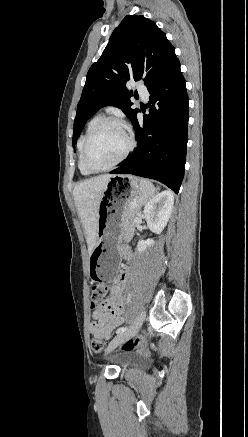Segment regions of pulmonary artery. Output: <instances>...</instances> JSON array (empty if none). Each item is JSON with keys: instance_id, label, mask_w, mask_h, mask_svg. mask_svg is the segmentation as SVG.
<instances>
[{"instance_id": "pulmonary-artery-1", "label": "pulmonary artery", "mask_w": 248, "mask_h": 437, "mask_svg": "<svg viewBox=\"0 0 248 437\" xmlns=\"http://www.w3.org/2000/svg\"><path fill=\"white\" fill-rule=\"evenodd\" d=\"M137 91H138L139 95L142 97V99L147 101L148 96H149L147 89L143 86H138Z\"/></svg>"}]
</instances>
